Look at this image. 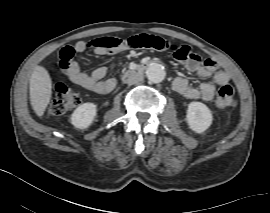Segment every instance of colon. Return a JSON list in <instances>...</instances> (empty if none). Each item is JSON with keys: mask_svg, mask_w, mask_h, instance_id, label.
<instances>
[{"mask_svg": "<svg viewBox=\"0 0 270 213\" xmlns=\"http://www.w3.org/2000/svg\"><path fill=\"white\" fill-rule=\"evenodd\" d=\"M124 44L129 48L149 49L153 51H162L168 47L159 36L149 34H139L131 36L124 41ZM189 52L187 45H175L173 58L177 62H182ZM191 58L194 62H204L208 60L203 59L198 53H191ZM60 66L63 69H69L70 63L67 60L61 61ZM80 93L64 84H59L54 89V97L49 107L51 114L60 115L72 111L80 103ZM235 103V90L231 85L222 86L215 98V105L219 108H229Z\"/></svg>", "mask_w": 270, "mask_h": 213, "instance_id": "obj_1", "label": "colon"}]
</instances>
